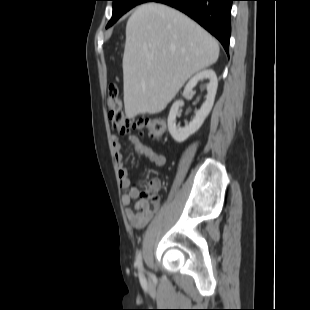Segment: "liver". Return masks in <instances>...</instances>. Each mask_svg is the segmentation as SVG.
I'll use <instances>...</instances> for the list:
<instances>
[{"mask_svg": "<svg viewBox=\"0 0 310 310\" xmlns=\"http://www.w3.org/2000/svg\"><path fill=\"white\" fill-rule=\"evenodd\" d=\"M218 57V42L189 17L159 3L140 5L126 25V117L160 113L192 75Z\"/></svg>", "mask_w": 310, "mask_h": 310, "instance_id": "6515ba94", "label": "liver"}]
</instances>
